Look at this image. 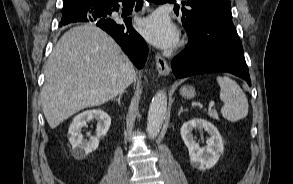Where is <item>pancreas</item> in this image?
<instances>
[{
    "label": "pancreas",
    "mask_w": 293,
    "mask_h": 184,
    "mask_svg": "<svg viewBox=\"0 0 293 184\" xmlns=\"http://www.w3.org/2000/svg\"><path fill=\"white\" fill-rule=\"evenodd\" d=\"M208 115L211 118L215 119V120H218L219 119V116H218V113H217L216 110H210V111H208Z\"/></svg>",
    "instance_id": "cf45deb5"
}]
</instances>
